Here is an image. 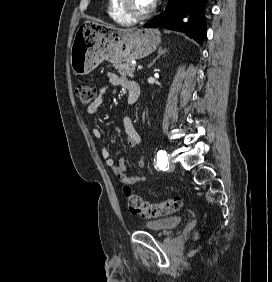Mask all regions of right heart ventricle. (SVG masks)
I'll use <instances>...</instances> for the list:
<instances>
[{
	"instance_id": "e07e8e85",
	"label": "right heart ventricle",
	"mask_w": 272,
	"mask_h": 282,
	"mask_svg": "<svg viewBox=\"0 0 272 282\" xmlns=\"http://www.w3.org/2000/svg\"><path fill=\"white\" fill-rule=\"evenodd\" d=\"M109 14L120 24L130 25L133 22V20L121 10L118 0H109Z\"/></svg>"
}]
</instances>
